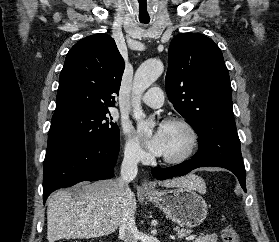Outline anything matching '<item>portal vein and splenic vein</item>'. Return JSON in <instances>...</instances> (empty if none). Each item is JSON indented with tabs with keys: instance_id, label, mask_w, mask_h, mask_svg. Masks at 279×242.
Masks as SVG:
<instances>
[{
	"instance_id": "portal-vein-and-splenic-vein-1",
	"label": "portal vein and splenic vein",
	"mask_w": 279,
	"mask_h": 242,
	"mask_svg": "<svg viewBox=\"0 0 279 242\" xmlns=\"http://www.w3.org/2000/svg\"><path fill=\"white\" fill-rule=\"evenodd\" d=\"M195 237H196V235H190V236H188V237H186V240H193V239H195Z\"/></svg>"
}]
</instances>
